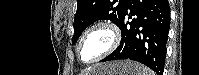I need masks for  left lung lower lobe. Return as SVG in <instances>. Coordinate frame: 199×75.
Here are the masks:
<instances>
[{"instance_id": "left-lung-lower-lobe-1", "label": "left lung lower lobe", "mask_w": 199, "mask_h": 75, "mask_svg": "<svg viewBox=\"0 0 199 75\" xmlns=\"http://www.w3.org/2000/svg\"><path fill=\"white\" fill-rule=\"evenodd\" d=\"M169 25L167 0H130L118 25L122 32L120 45L101 62L130 59L163 75Z\"/></svg>"}]
</instances>
